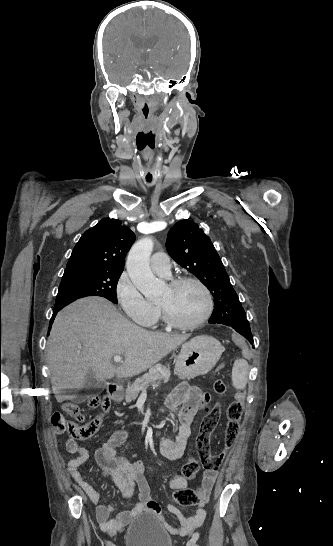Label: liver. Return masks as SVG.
<instances>
[{
  "label": "liver",
  "mask_w": 333,
  "mask_h": 546,
  "mask_svg": "<svg viewBox=\"0 0 333 546\" xmlns=\"http://www.w3.org/2000/svg\"><path fill=\"white\" fill-rule=\"evenodd\" d=\"M188 338L189 335L147 331L128 321L104 298L79 299L57 314L48 340L47 356L56 400L71 399L61 391L83 388L90 372L98 381L115 375L136 376ZM116 355L124 356V362L117 367L112 360Z\"/></svg>",
  "instance_id": "liver-1"
}]
</instances>
